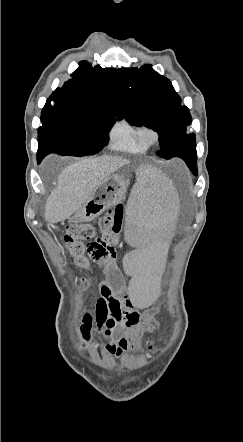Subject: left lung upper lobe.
Instances as JSON below:
<instances>
[{"label": "left lung upper lobe", "mask_w": 243, "mask_h": 442, "mask_svg": "<svg viewBox=\"0 0 243 442\" xmlns=\"http://www.w3.org/2000/svg\"><path fill=\"white\" fill-rule=\"evenodd\" d=\"M121 93L118 114L137 126H146L159 133L157 155L182 158L196 175L195 134L186 133L192 122L189 109L181 105L168 78L144 65L119 69Z\"/></svg>", "instance_id": "1"}]
</instances>
